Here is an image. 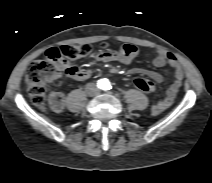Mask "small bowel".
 <instances>
[{
	"label": "small bowel",
	"instance_id": "small-bowel-1",
	"mask_svg": "<svg viewBox=\"0 0 212 183\" xmlns=\"http://www.w3.org/2000/svg\"><path fill=\"white\" fill-rule=\"evenodd\" d=\"M136 55L137 48L133 45L126 44L123 45L118 51L100 52L97 54V58L103 61L116 60L123 64H129ZM152 65L156 68H161L169 65L173 69V83L167 89L164 98L153 104L151 108L153 114H160L172 105L182 84L184 73L178 59L172 53L164 49H158L156 51V55L152 59ZM57 70L59 71V73H56L54 78L55 80L61 78V72L67 73L69 71H72V75L69 76L78 81L86 80L91 76V73L89 71L79 69L77 66L69 62H62L61 64H59ZM136 73L147 77L148 80H150L153 84L154 82L162 83L164 81V76L155 71L137 69ZM49 102L52 110L55 112L62 111L65 105L64 96L60 92H51L49 96Z\"/></svg>",
	"mask_w": 212,
	"mask_h": 183
}]
</instances>
